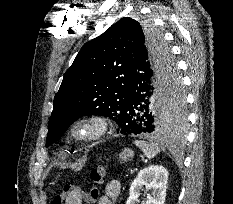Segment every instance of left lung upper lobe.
<instances>
[{"label": "left lung upper lobe", "mask_w": 233, "mask_h": 204, "mask_svg": "<svg viewBox=\"0 0 233 204\" xmlns=\"http://www.w3.org/2000/svg\"><path fill=\"white\" fill-rule=\"evenodd\" d=\"M141 48L150 51L154 67L159 64L161 74L170 83V73L176 64L163 37L150 25L121 18L102 35L87 42L66 71L54 97L46 147L82 116L109 117L118 123L120 130L121 106L128 95L130 72ZM184 106L185 95L179 79L171 90L167 88L161 107L160 132L185 123Z\"/></svg>", "instance_id": "left-lung-upper-lobe-1"}]
</instances>
